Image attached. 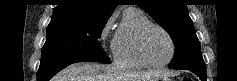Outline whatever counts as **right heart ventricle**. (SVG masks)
Segmentation results:
<instances>
[{
	"mask_svg": "<svg viewBox=\"0 0 237 81\" xmlns=\"http://www.w3.org/2000/svg\"><path fill=\"white\" fill-rule=\"evenodd\" d=\"M151 21L139 9H127L114 37V60L126 68H143L146 64L137 53V36L139 31Z\"/></svg>",
	"mask_w": 237,
	"mask_h": 81,
	"instance_id": "obj_1",
	"label": "right heart ventricle"
}]
</instances>
